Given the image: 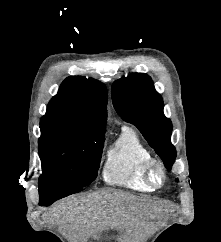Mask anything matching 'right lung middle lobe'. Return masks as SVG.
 I'll use <instances>...</instances> for the list:
<instances>
[{
  "instance_id": "right-lung-middle-lobe-1",
  "label": "right lung middle lobe",
  "mask_w": 221,
  "mask_h": 242,
  "mask_svg": "<svg viewBox=\"0 0 221 242\" xmlns=\"http://www.w3.org/2000/svg\"><path fill=\"white\" fill-rule=\"evenodd\" d=\"M104 137L67 128L41 129L39 188H83L97 177Z\"/></svg>"
}]
</instances>
